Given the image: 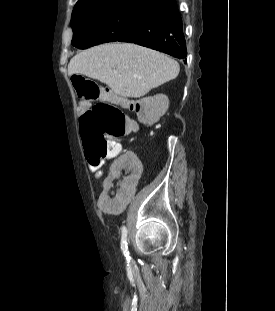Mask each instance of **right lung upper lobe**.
<instances>
[{
	"mask_svg": "<svg viewBox=\"0 0 275 311\" xmlns=\"http://www.w3.org/2000/svg\"><path fill=\"white\" fill-rule=\"evenodd\" d=\"M79 1H83V0H79ZM154 1H159L161 4H166V3H169L173 0H154Z\"/></svg>",
	"mask_w": 275,
	"mask_h": 311,
	"instance_id": "right-lung-upper-lobe-1",
	"label": "right lung upper lobe"
}]
</instances>
